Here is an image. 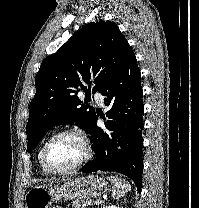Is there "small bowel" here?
Returning <instances> with one entry per match:
<instances>
[{"mask_svg":"<svg viewBox=\"0 0 199 208\" xmlns=\"http://www.w3.org/2000/svg\"><path fill=\"white\" fill-rule=\"evenodd\" d=\"M53 208H64V207H62V206H54Z\"/></svg>","mask_w":199,"mask_h":208,"instance_id":"1","label":"small bowel"}]
</instances>
